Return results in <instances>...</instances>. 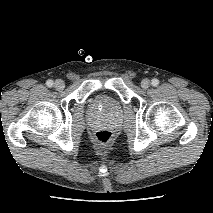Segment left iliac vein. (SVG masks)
Listing matches in <instances>:
<instances>
[{"mask_svg": "<svg viewBox=\"0 0 213 213\" xmlns=\"http://www.w3.org/2000/svg\"><path fill=\"white\" fill-rule=\"evenodd\" d=\"M149 86H150V81H149V79H143V80L141 81V87H142L143 89H147Z\"/></svg>", "mask_w": 213, "mask_h": 213, "instance_id": "obj_1", "label": "left iliac vein"}]
</instances>
